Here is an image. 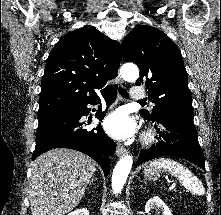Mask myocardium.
Here are the masks:
<instances>
[{"label": "myocardium", "instance_id": "1", "mask_svg": "<svg viewBox=\"0 0 221 215\" xmlns=\"http://www.w3.org/2000/svg\"><path fill=\"white\" fill-rule=\"evenodd\" d=\"M155 140V136L152 132H147L143 136V142L145 144H150Z\"/></svg>", "mask_w": 221, "mask_h": 215}]
</instances>
